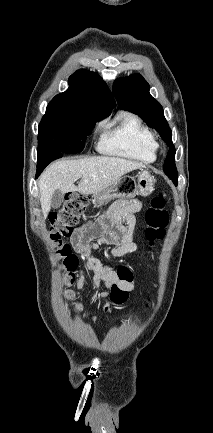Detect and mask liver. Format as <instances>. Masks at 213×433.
<instances>
[{
    "label": "liver",
    "mask_w": 213,
    "mask_h": 433,
    "mask_svg": "<svg viewBox=\"0 0 213 433\" xmlns=\"http://www.w3.org/2000/svg\"><path fill=\"white\" fill-rule=\"evenodd\" d=\"M144 167L139 162L108 156L57 161L42 173L38 181L43 216L46 218L50 212L51 198L55 190L64 194L75 191L83 195L98 194L124 174ZM78 179L81 180L78 186H75L74 182Z\"/></svg>",
    "instance_id": "obj_1"
}]
</instances>
